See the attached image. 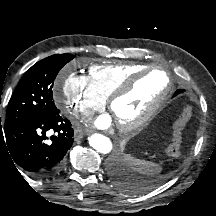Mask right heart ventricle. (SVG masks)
Listing matches in <instances>:
<instances>
[{"mask_svg": "<svg viewBox=\"0 0 216 216\" xmlns=\"http://www.w3.org/2000/svg\"><path fill=\"white\" fill-rule=\"evenodd\" d=\"M143 68L137 63L97 64L89 68V79L97 93L105 100L129 75Z\"/></svg>", "mask_w": 216, "mask_h": 216, "instance_id": "e07e8e85", "label": "right heart ventricle"}]
</instances>
